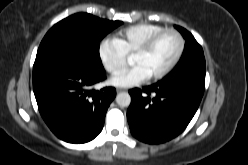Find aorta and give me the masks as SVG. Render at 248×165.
<instances>
[{
  "label": "aorta",
  "instance_id": "obj_1",
  "mask_svg": "<svg viewBox=\"0 0 248 165\" xmlns=\"http://www.w3.org/2000/svg\"><path fill=\"white\" fill-rule=\"evenodd\" d=\"M116 103L120 107H128L131 103V96L126 92H121L116 96Z\"/></svg>",
  "mask_w": 248,
  "mask_h": 165
}]
</instances>
